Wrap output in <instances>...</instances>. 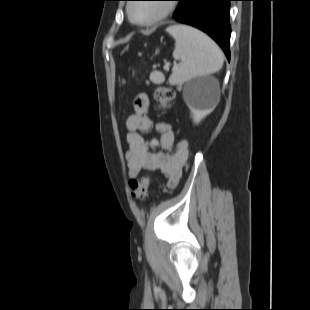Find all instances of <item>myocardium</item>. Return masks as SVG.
<instances>
[{
  "label": "myocardium",
  "mask_w": 310,
  "mask_h": 310,
  "mask_svg": "<svg viewBox=\"0 0 310 310\" xmlns=\"http://www.w3.org/2000/svg\"><path fill=\"white\" fill-rule=\"evenodd\" d=\"M134 5L135 4H129L127 7L128 18L133 24H135L137 26H143V27H148V26L158 24L159 22H161L165 18H167L174 10L173 6L169 2H164L162 4V10L157 16H155L151 19H148V20L139 21V20H136L132 14V8Z\"/></svg>",
  "instance_id": "f54148a6"
}]
</instances>
